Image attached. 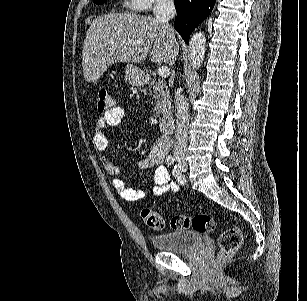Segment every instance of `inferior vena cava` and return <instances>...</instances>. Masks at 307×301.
I'll list each match as a JSON object with an SVG mask.
<instances>
[{
    "label": "inferior vena cava",
    "mask_w": 307,
    "mask_h": 301,
    "mask_svg": "<svg viewBox=\"0 0 307 301\" xmlns=\"http://www.w3.org/2000/svg\"><path fill=\"white\" fill-rule=\"evenodd\" d=\"M155 20L163 22L170 28V34H174L173 26L168 24L176 14L174 0H156L153 8ZM176 114V130L174 134L173 155H185L188 148V128L190 120L189 102L183 94H175L174 98Z\"/></svg>",
    "instance_id": "1"
}]
</instances>
